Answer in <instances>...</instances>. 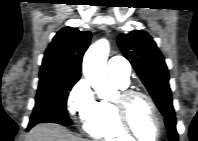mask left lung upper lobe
<instances>
[{"mask_svg": "<svg viewBox=\"0 0 198 141\" xmlns=\"http://www.w3.org/2000/svg\"><path fill=\"white\" fill-rule=\"evenodd\" d=\"M123 55L130 61L159 110L165 115L170 141L178 140L175 111L164 57L151 36L142 30L120 34L117 38Z\"/></svg>", "mask_w": 198, "mask_h": 141, "instance_id": "5c2ea615", "label": "left lung upper lobe"}]
</instances>
